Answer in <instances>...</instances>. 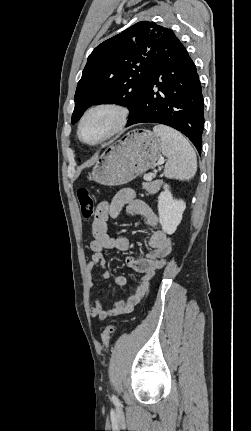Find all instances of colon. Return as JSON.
<instances>
[{
    "label": "colon",
    "instance_id": "5ec220e1",
    "mask_svg": "<svg viewBox=\"0 0 251 431\" xmlns=\"http://www.w3.org/2000/svg\"><path fill=\"white\" fill-rule=\"evenodd\" d=\"M77 200L79 203V207L81 210L82 217L85 220H90L96 213V202L91 194V192L87 188H80L77 191ZM114 332V325H107L102 334L101 340L105 347L109 346L112 333Z\"/></svg>",
    "mask_w": 251,
    "mask_h": 431
}]
</instances>
